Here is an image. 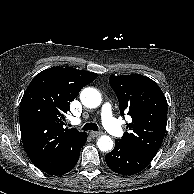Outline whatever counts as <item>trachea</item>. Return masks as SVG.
Here are the masks:
<instances>
[{"mask_svg":"<svg viewBox=\"0 0 194 194\" xmlns=\"http://www.w3.org/2000/svg\"><path fill=\"white\" fill-rule=\"evenodd\" d=\"M98 126L96 123H93V122H89V123H86L83 127H82V130L84 131H88V130H93V131H98Z\"/></svg>","mask_w":194,"mask_h":194,"instance_id":"obj_1","label":"trachea"}]
</instances>
